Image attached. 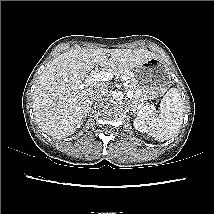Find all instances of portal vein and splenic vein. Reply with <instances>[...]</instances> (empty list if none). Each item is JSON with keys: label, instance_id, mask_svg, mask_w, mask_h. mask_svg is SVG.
<instances>
[{"label": "portal vein and splenic vein", "instance_id": "18ae733b", "mask_svg": "<svg viewBox=\"0 0 214 214\" xmlns=\"http://www.w3.org/2000/svg\"><path fill=\"white\" fill-rule=\"evenodd\" d=\"M113 75H116L115 73L111 72V71H100L98 73H94L92 74L89 78H87L84 82V86H89L90 84L94 83V82H100V81H108L110 79L113 78ZM123 81H127L126 77H122ZM125 87L128 88L127 83H125ZM127 96L128 98L132 99L133 97V92L131 90L128 89L127 92Z\"/></svg>", "mask_w": 214, "mask_h": 214}]
</instances>
